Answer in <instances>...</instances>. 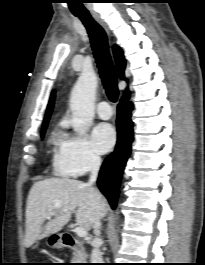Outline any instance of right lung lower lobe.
<instances>
[{
	"label": "right lung lower lobe",
	"instance_id": "1",
	"mask_svg": "<svg viewBox=\"0 0 205 265\" xmlns=\"http://www.w3.org/2000/svg\"><path fill=\"white\" fill-rule=\"evenodd\" d=\"M132 107V103L127 102V99H122L117 107V145L115 151L103 162L97 181L99 189L113 209L116 208L122 172L131 151L133 140Z\"/></svg>",
	"mask_w": 205,
	"mask_h": 265
}]
</instances>
